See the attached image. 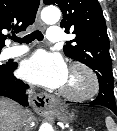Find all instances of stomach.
Wrapping results in <instances>:
<instances>
[{"label":"stomach","mask_w":117,"mask_h":131,"mask_svg":"<svg viewBox=\"0 0 117 131\" xmlns=\"http://www.w3.org/2000/svg\"><path fill=\"white\" fill-rule=\"evenodd\" d=\"M53 114H56L62 121H68V120H73L74 119V114H69L67 116L65 113H60L59 111H53Z\"/></svg>","instance_id":"1"}]
</instances>
